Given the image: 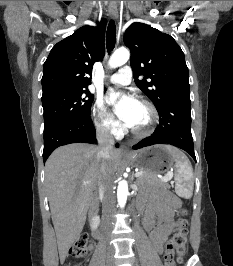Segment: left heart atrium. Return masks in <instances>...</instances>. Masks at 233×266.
<instances>
[{"label": "left heart atrium", "mask_w": 233, "mask_h": 266, "mask_svg": "<svg viewBox=\"0 0 233 266\" xmlns=\"http://www.w3.org/2000/svg\"><path fill=\"white\" fill-rule=\"evenodd\" d=\"M118 118L128 127H133L136 121L139 102L131 95H125L116 100L114 96L109 97Z\"/></svg>", "instance_id": "left-heart-atrium-1"}]
</instances>
